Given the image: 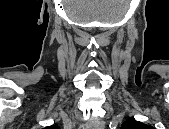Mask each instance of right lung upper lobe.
I'll return each mask as SVG.
<instances>
[{
	"instance_id": "obj_1",
	"label": "right lung upper lobe",
	"mask_w": 169,
	"mask_h": 129,
	"mask_svg": "<svg viewBox=\"0 0 169 129\" xmlns=\"http://www.w3.org/2000/svg\"><path fill=\"white\" fill-rule=\"evenodd\" d=\"M48 128H53V129H55V128H58L57 126H50V127H48Z\"/></svg>"
}]
</instances>
